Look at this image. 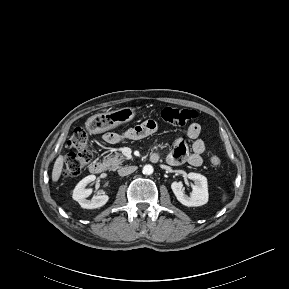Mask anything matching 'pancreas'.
<instances>
[{
    "label": "pancreas",
    "mask_w": 289,
    "mask_h": 289,
    "mask_svg": "<svg viewBox=\"0 0 289 289\" xmlns=\"http://www.w3.org/2000/svg\"><path fill=\"white\" fill-rule=\"evenodd\" d=\"M125 159L121 153L116 152L114 155L104 158L103 162L109 170L114 171L120 168Z\"/></svg>",
    "instance_id": "pancreas-1"
}]
</instances>
